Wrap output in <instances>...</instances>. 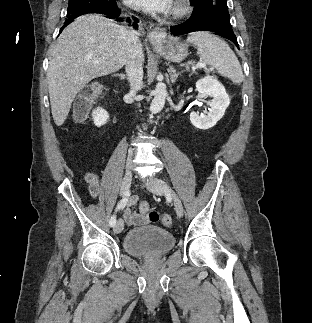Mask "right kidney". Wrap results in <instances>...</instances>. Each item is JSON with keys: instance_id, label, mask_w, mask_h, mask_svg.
Returning <instances> with one entry per match:
<instances>
[{"instance_id": "ca27d5eb", "label": "right kidney", "mask_w": 312, "mask_h": 323, "mask_svg": "<svg viewBox=\"0 0 312 323\" xmlns=\"http://www.w3.org/2000/svg\"><path fill=\"white\" fill-rule=\"evenodd\" d=\"M92 118L95 126L100 128V126H104L108 122L109 114L103 108H96V110H93Z\"/></svg>"}]
</instances>
